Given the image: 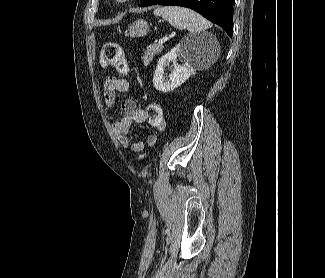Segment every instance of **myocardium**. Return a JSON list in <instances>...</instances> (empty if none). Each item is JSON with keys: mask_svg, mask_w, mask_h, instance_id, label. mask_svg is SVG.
I'll use <instances>...</instances> for the list:
<instances>
[{"mask_svg": "<svg viewBox=\"0 0 325 278\" xmlns=\"http://www.w3.org/2000/svg\"><path fill=\"white\" fill-rule=\"evenodd\" d=\"M131 0H113V2L115 4H118V5H123V4H126L128 2H130Z\"/></svg>", "mask_w": 325, "mask_h": 278, "instance_id": "1", "label": "myocardium"}]
</instances>
